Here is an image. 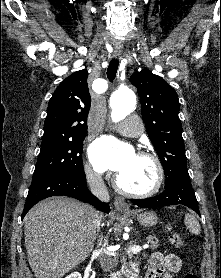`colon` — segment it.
I'll use <instances>...</instances> for the list:
<instances>
[{
    "label": "colon",
    "instance_id": "1",
    "mask_svg": "<svg viewBox=\"0 0 221 278\" xmlns=\"http://www.w3.org/2000/svg\"><path fill=\"white\" fill-rule=\"evenodd\" d=\"M170 243L178 248V249H183L185 247V243L182 240L181 236L179 234L173 233L170 235ZM184 278H197L196 273L192 268H190L184 275Z\"/></svg>",
    "mask_w": 221,
    "mask_h": 278
}]
</instances>
